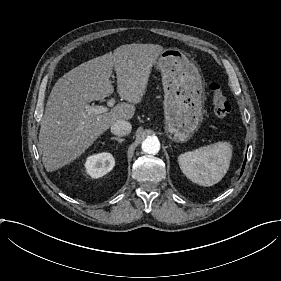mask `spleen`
Listing matches in <instances>:
<instances>
[{
	"label": "spleen",
	"mask_w": 281,
	"mask_h": 281,
	"mask_svg": "<svg viewBox=\"0 0 281 281\" xmlns=\"http://www.w3.org/2000/svg\"><path fill=\"white\" fill-rule=\"evenodd\" d=\"M233 152V143L223 140L182 154L178 161L182 172L192 182L198 180L202 186L209 187L226 176Z\"/></svg>",
	"instance_id": "1"
}]
</instances>
